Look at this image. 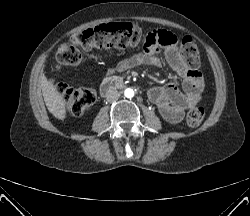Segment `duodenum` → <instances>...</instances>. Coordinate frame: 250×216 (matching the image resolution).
<instances>
[{"instance_id": "1", "label": "duodenum", "mask_w": 250, "mask_h": 216, "mask_svg": "<svg viewBox=\"0 0 250 216\" xmlns=\"http://www.w3.org/2000/svg\"><path fill=\"white\" fill-rule=\"evenodd\" d=\"M124 85L120 78L110 77L104 80L100 86V94L104 97L111 93L113 90L118 89Z\"/></svg>"}]
</instances>
